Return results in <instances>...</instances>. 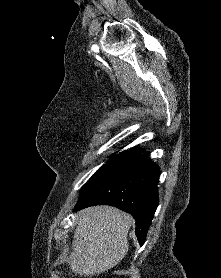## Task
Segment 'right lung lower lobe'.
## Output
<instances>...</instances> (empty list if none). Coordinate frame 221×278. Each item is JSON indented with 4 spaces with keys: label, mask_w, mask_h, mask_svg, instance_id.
<instances>
[{
    "label": "right lung lower lobe",
    "mask_w": 221,
    "mask_h": 278,
    "mask_svg": "<svg viewBox=\"0 0 221 278\" xmlns=\"http://www.w3.org/2000/svg\"><path fill=\"white\" fill-rule=\"evenodd\" d=\"M136 157L129 164L94 187L75 210L92 205H111L130 213L136 221V236L140 245L159 204L158 188L160 169L149 158V152L135 149Z\"/></svg>",
    "instance_id": "right-lung-lower-lobe-1"
}]
</instances>
